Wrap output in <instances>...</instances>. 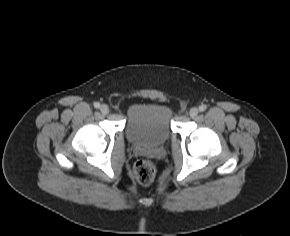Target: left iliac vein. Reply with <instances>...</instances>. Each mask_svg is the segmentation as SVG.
Returning <instances> with one entry per match:
<instances>
[{"instance_id":"4c4485c4","label":"left iliac vein","mask_w":290,"mask_h":236,"mask_svg":"<svg viewBox=\"0 0 290 236\" xmlns=\"http://www.w3.org/2000/svg\"><path fill=\"white\" fill-rule=\"evenodd\" d=\"M198 113H199V110L196 107L191 108L190 111H189V115L192 118L196 117L198 115Z\"/></svg>"}]
</instances>
